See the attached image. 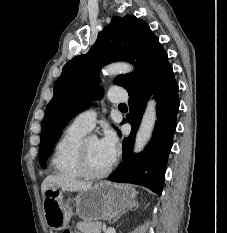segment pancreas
Returning <instances> with one entry per match:
<instances>
[{
	"mask_svg": "<svg viewBox=\"0 0 227 233\" xmlns=\"http://www.w3.org/2000/svg\"><path fill=\"white\" fill-rule=\"evenodd\" d=\"M76 227L81 233H101L102 229L100 222L88 220L78 222Z\"/></svg>",
	"mask_w": 227,
	"mask_h": 233,
	"instance_id": "cf45deb5",
	"label": "pancreas"
}]
</instances>
